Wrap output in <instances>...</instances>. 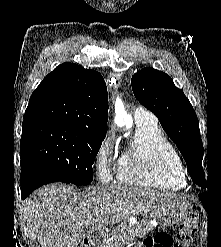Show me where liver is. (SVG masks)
I'll list each match as a JSON object with an SVG mask.
<instances>
[{
  "label": "liver",
  "mask_w": 221,
  "mask_h": 247,
  "mask_svg": "<svg viewBox=\"0 0 221 247\" xmlns=\"http://www.w3.org/2000/svg\"><path fill=\"white\" fill-rule=\"evenodd\" d=\"M176 197L174 193L137 186L112 185L76 192L70 186L54 183L26 199L23 214L41 247H76L87 236L86 229L117 224Z\"/></svg>",
  "instance_id": "1"
}]
</instances>
